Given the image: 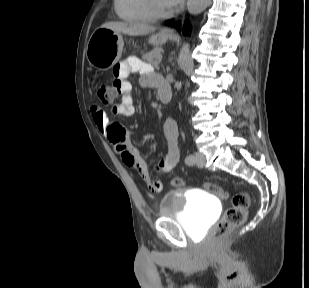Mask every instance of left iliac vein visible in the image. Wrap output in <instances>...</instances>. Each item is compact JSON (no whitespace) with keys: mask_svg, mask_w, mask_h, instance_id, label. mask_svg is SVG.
Wrapping results in <instances>:
<instances>
[{"mask_svg":"<svg viewBox=\"0 0 309 288\" xmlns=\"http://www.w3.org/2000/svg\"><path fill=\"white\" fill-rule=\"evenodd\" d=\"M195 164L199 167L202 168L205 164V156L204 154L200 153V152H196L195 153Z\"/></svg>","mask_w":309,"mask_h":288,"instance_id":"1","label":"left iliac vein"}]
</instances>
